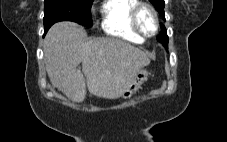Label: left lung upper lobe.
<instances>
[{
  "mask_svg": "<svg viewBox=\"0 0 227 142\" xmlns=\"http://www.w3.org/2000/svg\"><path fill=\"white\" fill-rule=\"evenodd\" d=\"M154 7L158 10L159 14L165 20L164 15V0H150ZM157 40L163 44V46L168 49V36L165 27L162 25V32L157 36Z\"/></svg>",
  "mask_w": 227,
  "mask_h": 142,
  "instance_id": "5c2ea615",
  "label": "left lung upper lobe"
}]
</instances>
